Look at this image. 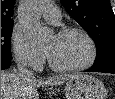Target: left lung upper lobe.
<instances>
[{
  "label": "left lung upper lobe",
  "mask_w": 115,
  "mask_h": 99,
  "mask_svg": "<svg viewBox=\"0 0 115 99\" xmlns=\"http://www.w3.org/2000/svg\"><path fill=\"white\" fill-rule=\"evenodd\" d=\"M69 15L96 44L93 67L115 64V18L109 0H61Z\"/></svg>",
  "instance_id": "obj_1"
}]
</instances>
